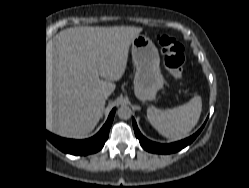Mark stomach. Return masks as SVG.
<instances>
[{
	"label": "stomach",
	"instance_id": "stomach-1",
	"mask_svg": "<svg viewBox=\"0 0 249 188\" xmlns=\"http://www.w3.org/2000/svg\"><path fill=\"white\" fill-rule=\"evenodd\" d=\"M131 44L132 60L136 68L135 94L141 101L152 100L164 82L158 50L146 35H137Z\"/></svg>",
	"mask_w": 249,
	"mask_h": 188
}]
</instances>
